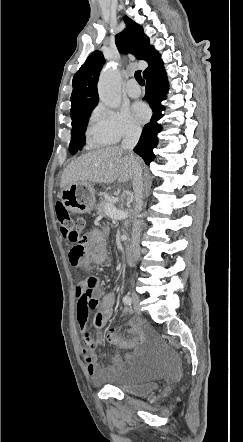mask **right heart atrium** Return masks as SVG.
Instances as JSON below:
<instances>
[{
  "label": "right heart atrium",
  "instance_id": "1",
  "mask_svg": "<svg viewBox=\"0 0 243 442\" xmlns=\"http://www.w3.org/2000/svg\"><path fill=\"white\" fill-rule=\"evenodd\" d=\"M94 121L99 131L112 143L136 137L141 131L138 123L124 108L111 109L99 106L95 112Z\"/></svg>",
  "mask_w": 243,
  "mask_h": 442
}]
</instances>
